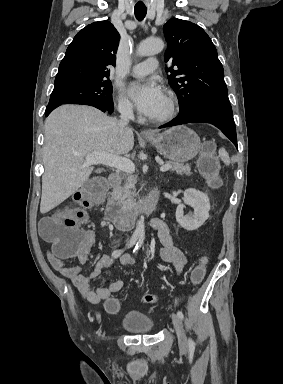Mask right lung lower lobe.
<instances>
[{"mask_svg":"<svg viewBox=\"0 0 283 384\" xmlns=\"http://www.w3.org/2000/svg\"><path fill=\"white\" fill-rule=\"evenodd\" d=\"M90 106H94L98 109H100L103 112H109L112 113L114 110L113 103H108V104H86ZM55 108L54 107H47L45 111V116L47 117Z\"/></svg>","mask_w":283,"mask_h":384,"instance_id":"98d812e1","label":"right lung lower lobe"}]
</instances>
